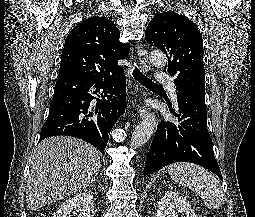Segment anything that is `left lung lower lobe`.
<instances>
[{"label": "left lung lower lobe", "instance_id": "1", "mask_svg": "<svg viewBox=\"0 0 255 217\" xmlns=\"http://www.w3.org/2000/svg\"><path fill=\"white\" fill-rule=\"evenodd\" d=\"M178 123L162 121L152 141L144 175L175 162H191L222 175L215 160L212 140L207 130V110L203 97L177 90Z\"/></svg>", "mask_w": 255, "mask_h": 217}]
</instances>
